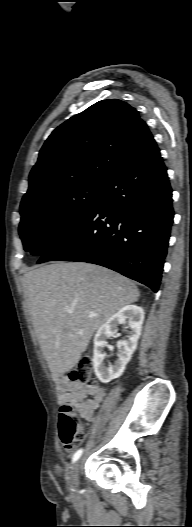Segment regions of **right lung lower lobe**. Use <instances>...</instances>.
<instances>
[{
	"instance_id": "right-lung-lower-lobe-1",
	"label": "right lung lower lobe",
	"mask_w": 192,
	"mask_h": 527,
	"mask_svg": "<svg viewBox=\"0 0 192 527\" xmlns=\"http://www.w3.org/2000/svg\"><path fill=\"white\" fill-rule=\"evenodd\" d=\"M166 171L153 140L105 184L85 217L38 263L98 264L157 292L174 217Z\"/></svg>"
}]
</instances>
